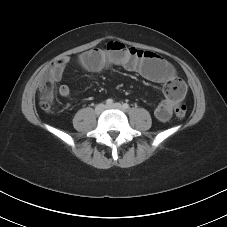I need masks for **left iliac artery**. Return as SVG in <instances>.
<instances>
[{
  "instance_id": "obj_1",
  "label": "left iliac artery",
  "mask_w": 227,
  "mask_h": 227,
  "mask_svg": "<svg viewBox=\"0 0 227 227\" xmlns=\"http://www.w3.org/2000/svg\"><path fill=\"white\" fill-rule=\"evenodd\" d=\"M123 108H124V109H129V104L124 103V104H123Z\"/></svg>"
}]
</instances>
